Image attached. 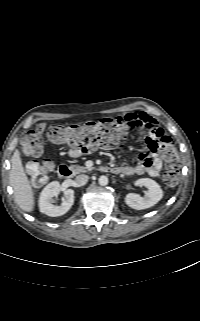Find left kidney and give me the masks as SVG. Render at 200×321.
I'll return each mask as SVG.
<instances>
[{
	"instance_id": "1",
	"label": "left kidney",
	"mask_w": 200,
	"mask_h": 321,
	"mask_svg": "<svg viewBox=\"0 0 200 321\" xmlns=\"http://www.w3.org/2000/svg\"><path fill=\"white\" fill-rule=\"evenodd\" d=\"M135 184L140 187H146L144 197L139 194L129 193L125 197L126 204L136 210H142L154 206L163 197V191L159 184L150 178L138 179Z\"/></svg>"
}]
</instances>
